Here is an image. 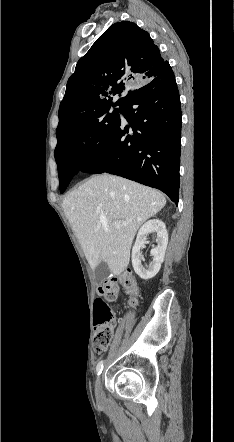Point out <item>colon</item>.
I'll return each mask as SVG.
<instances>
[{"label":"colon","mask_w":234,"mask_h":442,"mask_svg":"<svg viewBox=\"0 0 234 442\" xmlns=\"http://www.w3.org/2000/svg\"><path fill=\"white\" fill-rule=\"evenodd\" d=\"M120 281L126 291L132 297V302L137 303L139 288L130 270L125 271ZM118 284L115 279L107 280L98 287L97 298L94 305V347L97 352H104L114 335L115 321L109 303L116 299Z\"/></svg>","instance_id":"1"}]
</instances>
